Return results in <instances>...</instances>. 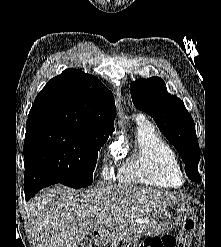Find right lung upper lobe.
I'll return each instance as SVG.
<instances>
[{"label":"right lung upper lobe","mask_w":221,"mask_h":247,"mask_svg":"<svg viewBox=\"0 0 221 247\" xmlns=\"http://www.w3.org/2000/svg\"><path fill=\"white\" fill-rule=\"evenodd\" d=\"M115 114L111 91L95 76L71 68L52 78L37 95L27 129L65 127L108 138Z\"/></svg>","instance_id":"1"}]
</instances>
